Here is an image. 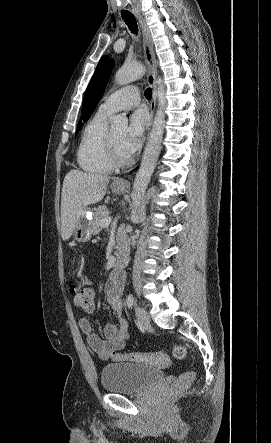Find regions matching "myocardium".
I'll use <instances>...</instances> for the list:
<instances>
[{
	"label": "myocardium",
	"instance_id": "myocardium-1",
	"mask_svg": "<svg viewBox=\"0 0 271 443\" xmlns=\"http://www.w3.org/2000/svg\"><path fill=\"white\" fill-rule=\"evenodd\" d=\"M109 149L114 164L121 166L130 161V157L124 156L118 149L112 132L109 134Z\"/></svg>",
	"mask_w": 271,
	"mask_h": 443
}]
</instances>
